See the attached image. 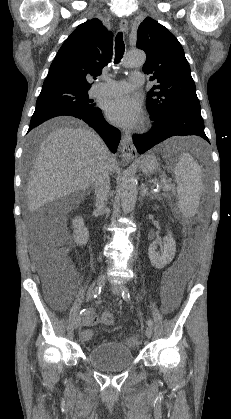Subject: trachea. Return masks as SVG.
Masks as SVG:
<instances>
[{"label": "trachea", "instance_id": "1", "mask_svg": "<svg viewBox=\"0 0 231 419\" xmlns=\"http://www.w3.org/2000/svg\"><path fill=\"white\" fill-rule=\"evenodd\" d=\"M125 50V45L123 41V34L119 32L115 38V60L114 63L117 64L123 57Z\"/></svg>", "mask_w": 231, "mask_h": 419}]
</instances>
